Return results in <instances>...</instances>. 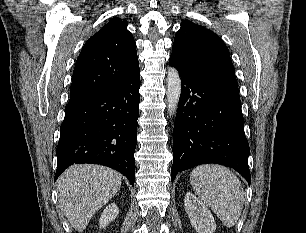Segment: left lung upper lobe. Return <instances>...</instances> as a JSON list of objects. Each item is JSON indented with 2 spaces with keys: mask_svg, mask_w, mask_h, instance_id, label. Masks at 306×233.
<instances>
[{
  "mask_svg": "<svg viewBox=\"0 0 306 233\" xmlns=\"http://www.w3.org/2000/svg\"><path fill=\"white\" fill-rule=\"evenodd\" d=\"M183 68L237 84L228 48L211 30L184 20L177 31L171 57Z\"/></svg>",
  "mask_w": 306,
  "mask_h": 233,
  "instance_id": "5c2ea615",
  "label": "left lung upper lobe"
}]
</instances>
